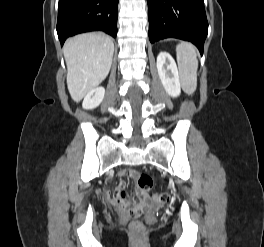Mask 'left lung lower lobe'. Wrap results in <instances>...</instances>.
<instances>
[{
  "instance_id": "1",
  "label": "left lung lower lobe",
  "mask_w": 264,
  "mask_h": 247,
  "mask_svg": "<svg viewBox=\"0 0 264 247\" xmlns=\"http://www.w3.org/2000/svg\"><path fill=\"white\" fill-rule=\"evenodd\" d=\"M149 39L151 43L165 38L191 41L203 54L208 22L204 0H147Z\"/></svg>"
}]
</instances>
